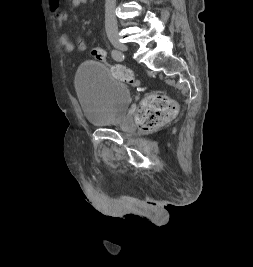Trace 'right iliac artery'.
<instances>
[{
  "label": "right iliac artery",
  "mask_w": 253,
  "mask_h": 267,
  "mask_svg": "<svg viewBox=\"0 0 253 267\" xmlns=\"http://www.w3.org/2000/svg\"><path fill=\"white\" fill-rule=\"evenodd\" d=\"M111 54H112V58L116 61H123L124 60L123 53L118 51V50H112Z\"/></svg>",
  "instance_id": "82829eb1"
}]
</instances>
